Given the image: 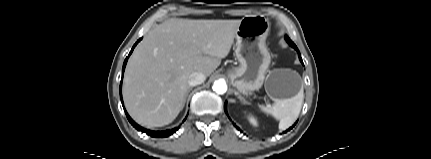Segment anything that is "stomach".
Masks as SVG:
<instances>
[{"label": "stomach", "instance_id": "0dacf381", "mask_svg": "<svg viewBox=\"0 0 431 159\" xmlns=\"http://www.w3.org/2000/svg\"><path fill=\"white\" fill-rule=\"evenodd\" d=\"M270 23L264 15H247L241 19L236 38L235 55L239 65L228 70L232 85L242 94L259 90L263 83L272 99H290L302 89L301 77L289 69L273 70L267 74L271 62L265 41Z\"/></svg>", "mask_w": 431, "mask_h": 159}]
</instances>
